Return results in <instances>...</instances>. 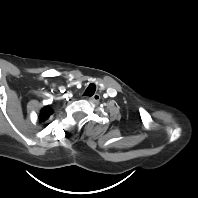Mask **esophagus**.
<instances>
[{
    "label": "esophagus",
    "instance_id": "obj_1",
    "mask_svg": "<svg viewBox=\"0 0 198 198\" xmlns=\"http://www.w3.org/2000/svg\"><path fill=\"white\" fill-rule=\"evenodd\" d=\"M101 96L99 94H94L92 97H90V101L93 103H98L100 100Z\"/></svg>",
    "mask_w": 198,
    "mask_h": 198
}]
</instances>
